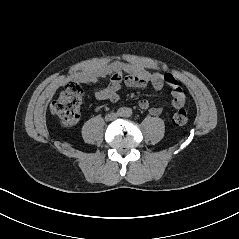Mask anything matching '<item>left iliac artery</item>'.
Wrapping results in <instances>:
<instances>
[{
  "label": "left iliac artery",
  "mask_w": 239,
  "mask_h": 239,
  "mask_svg": "<svg viewBox=\"0 0 239 239\" xmlns=\"http://www.w3.org/2000/svg\"><path fill=\"white\" fill-rule=\"evenodd\" d=\"M132 115V110L131 109H126V111H125V116L126 117H130Z\"/></svg>",
  "instance_id": "obj_1"
}]
</instances>
